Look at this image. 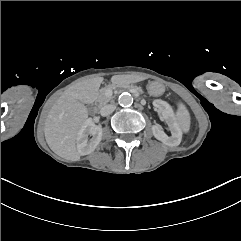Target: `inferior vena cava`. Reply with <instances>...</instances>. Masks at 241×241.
Returning <instances> with one entry per match:
<instances>
[{
    "mask_svg": "<svg viewBox=\"0 0 241 241\" xmlns=\"http://www.w3.org/2000/svg\"><path fill=\"white\" fill-rule=\"evenodd\" d=\"M116 109V105L114 104H106L104 106L101 107L100 109V115L101 116H108L110 115L112 112H114Z\"/></svg>",
    "mask_w": 241,
    "mask_h": 241,
    "instance_id": "obj_1",
    "label": "inferior vena cava"
}]
</instances>
